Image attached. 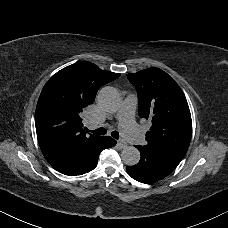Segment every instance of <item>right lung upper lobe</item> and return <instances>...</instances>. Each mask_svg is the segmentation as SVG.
I'll return each mask as SVG.
<instances>
[{"instance_id": "1", "label": "right lung upper lobe", "mask_w": 228, "mask_h": 228, "mask_svg": "<svg viewBox=\"0 0 228 228\" xmlns=\"http://www.w3.org/2000/svg\"><path fill=\"white\" fill-rule=\"evenodd\" d=\"M119 76L83 61L61 69L45 84L35 125L39 146L49 163L77 146L101 139L84 130L80 115L94 101L98 89Z\"/></svg>"}]
</instances>
